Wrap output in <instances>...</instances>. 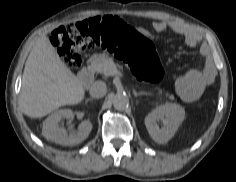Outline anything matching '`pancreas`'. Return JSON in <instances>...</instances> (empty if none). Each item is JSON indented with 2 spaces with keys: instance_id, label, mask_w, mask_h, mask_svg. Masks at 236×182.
I'll return each mask as SVG.
<instances>
[{
  "instance_id": "pancreas-1",
  "label": "pancreas",
  "mask_w": 236,
  "mask_h": 182,
  "mask_svg": "<svg viewBox=\"0 0 236 182\" xmlns=\"http://www.w3.org/2000/svg\"><path fill=\"white\" fill-rule=\"evenodd\" d=\"M91 68L97 73L105 76L114 75V71L118 69V65L113 62V59L105 53L94 54L91 59ZM171 100H174L172 95L167 94Z\"/></svg>"
}]
</instances>
